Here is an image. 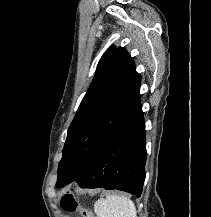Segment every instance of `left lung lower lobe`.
Here are the masks:
<instances>
[{
    "label": "left lung lower lobe",
    "mask_w": 211,
    "mask_h": 217,
    "mask_svg": "<svg viewBox=\"0 0 211 217\" xmlns=\"http://www.w3.org/2000/svg\"><path fill=\"white\" fill-rule=\"evenodd\" d=\"M146 158V131L141 110L111 134L73 181L81 188L118 189L140 197Z\"/></svg>",
    "instance_id": "1"
}]
</instances>
